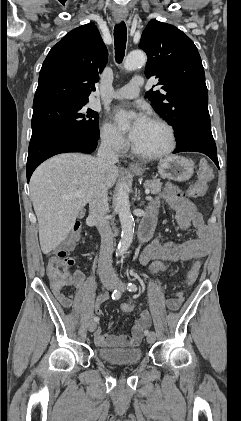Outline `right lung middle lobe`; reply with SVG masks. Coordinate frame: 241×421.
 Masks as SVG:
<instances>
[{
    "instance_id": "right-lung-middle-lobe-1",
    "label": "right lung middle lobe",
    "mask_w": 241,
    "mask_h": 421,
    "mask_svg": "<svg viewBox=\"0 0 241 421\" xmlns=\"http://www.w3.org/2000/svg\"><path fill=\"white\" fill-rule=\"evenodd\" d=\"M82 103L53 102L33 107L32 136L47 131L75 132L99 139V115Z\"/></svg>"
}]
</instances>
